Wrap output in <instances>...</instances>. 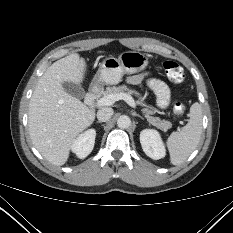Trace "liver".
Here are the masks:
<instances>
[{
    "instance_id": "liver-1",
    "label": "liver",
    "mask_w": 233,
    "mask_h": 233,
    "mask_svg": "<svg viewBox=\"0 0 233 233\" xmlns=\"http://www.w3.org/2000/svg\"><path fill=\"white\" fill-rule=\"evenodd\" d=\"M86 67L78 53L54 62L39 79L30 99L28 127L32 143L56 166L66 163L74 140L95 119V111L67 93L62 85H79Z\"/></svg>"
}]
</instances>
